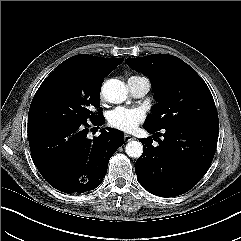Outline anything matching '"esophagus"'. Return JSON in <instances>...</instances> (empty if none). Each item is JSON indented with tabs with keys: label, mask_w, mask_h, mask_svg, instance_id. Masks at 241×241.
Returning a JSON list of instances; mask_svg holds the SVG:
<instances>
[{
	"label": "esophagus",
	"mask_w": 241,
	"mask_h": 241,
	"mask_svg": "<svg viewBox=\"0 0 241 241\" xmlns=\"http://www.w3.org/2000/svg\"><path fill=\"white\" fill-rule=\"evenodd\" d=\"M134 139H135V137L132 136V135H129V134H125V135H124V140H125L126 142H129V141L134 140Z\"/></svg>",
	"instance_id": "1"
}]
</instances>
